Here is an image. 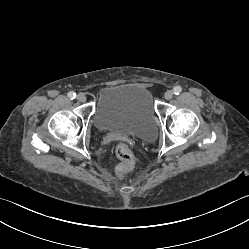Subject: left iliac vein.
<instances>
[{"label": "left iliac vein", "mask_w": 249, "mask_h": 249, "mask_svg": "<svg viewBox=\"0 0 249 249\" xmlns=\"http://www.w3.org/2000/svg\"><path fill=\"white\" fill-rule=\"evenodd\" d=\"M173 95H174L173 92L169 90L165 92L164 97L165 99L170 100L172 99Z\"/></svg>", "instance_id": "4c4485c4"}]
</instances>
